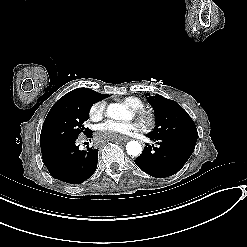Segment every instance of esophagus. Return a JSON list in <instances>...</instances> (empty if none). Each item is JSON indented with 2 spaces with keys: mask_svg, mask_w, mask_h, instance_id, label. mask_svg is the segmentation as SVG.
Listing matches in <instances>:
<instances>
[{
  "mask_svg": "<svg viewBox=\"0 0 247 247\" xmlns=\"http://www.w3.org/2000/svg\"><path fill=\"white\" fill-rule=\"evenodd\" d=\"M136 143H137L138 145H144V142H143V140H142L141 138H138V139L136 140Z\"/></svg>",
  "mask_w": 247,
  "mask_h": 247,
  "instance_id": "1",
  "label": "esophagus"
}]
</instances>
